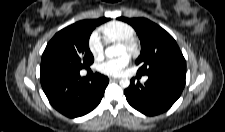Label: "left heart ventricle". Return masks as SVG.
Here are the masks:
<instances>
[{
	"instance_id": "b2bd125f",
	"label": "left heart ventricle",
	"mask_w": 225,
	"mask_h": 132,
	"mask_svg": "<svg viewBox=\"0 0 225 132\" xmlns=\"http://www.w3.org/2000/svg\"><path fill=\"white\" fill-rule=\"evenodd\" d=\"M125 53H127L126 49L122 45H119L118 46V54L122 55V54H125Z\"/></svg>"
}]
</instances>
